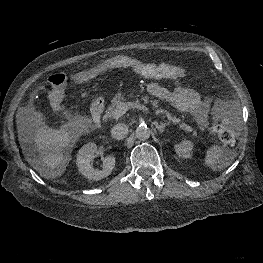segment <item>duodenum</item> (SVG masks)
<instances>
[{
    "instance_id": "1",
    "label": "duodenum",
    "mask_w": 263,
    "mask_h": 263,
    "mask_svg": "<svg viewBox=\"0 0 263 263\" xmlns=\"http://www.w3.org/2000/svg\"><path fill=\"white\" fill-rule=\"evenodd\" d=\"M90 112L93 122L97 126H99L101 124V118L103 113V102L99 100L94 101L90 107Z\"/></svg>"
}]
</instances>
